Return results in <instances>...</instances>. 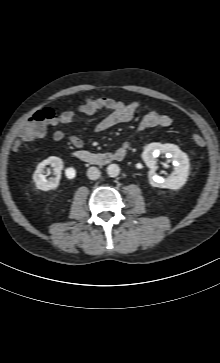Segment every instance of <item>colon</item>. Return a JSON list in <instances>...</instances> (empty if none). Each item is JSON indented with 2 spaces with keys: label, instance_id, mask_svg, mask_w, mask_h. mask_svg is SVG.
<instances>
[{
  "label": "colon",
  "instance_id": "colon-1",
  "mask_svg": "<svg viewBox=\"0 0 220 363\" xmlns=\"http://www.w3.org/2000/svg\"><path fill=\"white\" fill-rule=\"evenodd\" d=\"M56 119V112L51 107H44L35 111L22 126L19 132V141H32L42 137L46 131V127ZM192 141L197 146H203L205 139L200 134H194Z\"/></svg>",
  "mask_w": 220,
  "mask_h": 363
}]
</instances>
